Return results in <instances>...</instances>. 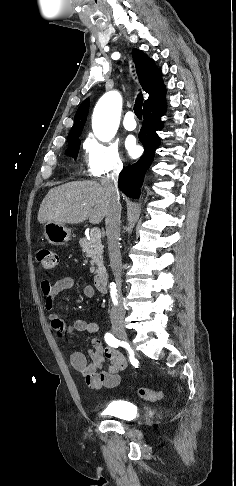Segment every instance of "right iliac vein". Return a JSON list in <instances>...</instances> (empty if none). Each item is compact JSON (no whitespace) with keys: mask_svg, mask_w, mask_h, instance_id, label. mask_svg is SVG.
I'll use <instances>...</instances> for the list:
<instances>
[{"mask_svg":"<svg viewBox=\"0 0 236 486\" xmlns=\"http://www.w3.org/2000/svg\"><path fill=\"white\" fill-rule=\"evenodd\" d=\"M112 330L118 338H120L124 341H128V336H127V333H126V329H125L123 320H121L119 318L113 319L112 320Z\"/></svg>","mask_w":236,"mask_h":486,"instance_id":"right-iliac-vein-1","label":"right iliac vein"}]
</instances>
